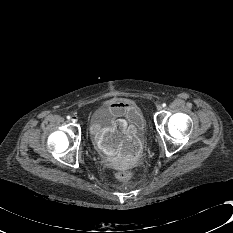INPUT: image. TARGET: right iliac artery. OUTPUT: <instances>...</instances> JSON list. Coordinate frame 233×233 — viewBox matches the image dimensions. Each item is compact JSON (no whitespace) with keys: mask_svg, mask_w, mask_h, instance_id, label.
<instances>
[{"mask_svg":"<svg viewBox=\"0 0 233 233\" xmlns=\"http://www.w3.org/2000/svg\"><path fill=\"white\" fill-rule=\"evenodd\" d=\"M71 117L70 116H67V119L69 120Z\"/></svg>","mask_w":233,"mask_h":233,"instance_id":"82829eb1","label":"right iliac artery"}]
</instances>
